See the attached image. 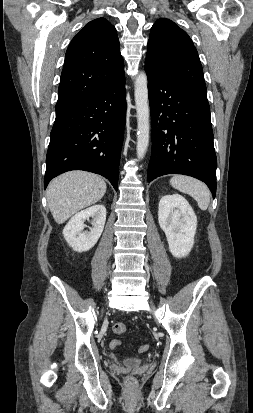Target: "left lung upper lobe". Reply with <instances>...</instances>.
Segmentation results:
<instances>
[{
    "label": "left lung upper lobe",
    "mask_w": 253,
    "mask_h": 413,
    "mask_svg": "<svg viewBox=\"0 0 253 413\" xmlns=\"http://www.w3.org/2000/svg\"><path fill=\"white\" fill-rule=\"evenodd\" d=\"M146 63L171 81L207 99L203 69L188 34L169 19L151 28Z\"/></svg>",
    "instance_id": "1"
}]
</instances>
